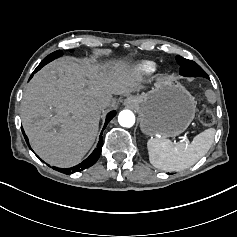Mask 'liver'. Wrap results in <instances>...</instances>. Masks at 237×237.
Wrapping results in <instances>:
<instances>
[{"mask_svg": "<svg viewBox=\"0 0 237 237\" xmlns=\"http://www.w3.org/2000/svg\"><path fill=\"white\" fill-rule=\"evenodd\" d=\"M136 83L125 75L106 77L90 62L60 59L40 70L21 101V120L34 151L47 163H79L97 136L99 101L131 94Z\"/></svg>", "mask_w": 237, "mask_h": 237, "instance_id": "6515ba94", "label": "liver"}]
</instances>
